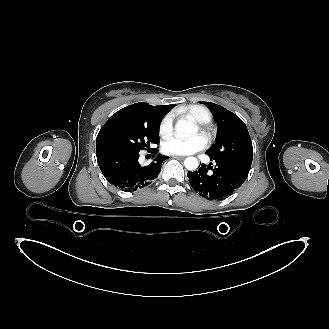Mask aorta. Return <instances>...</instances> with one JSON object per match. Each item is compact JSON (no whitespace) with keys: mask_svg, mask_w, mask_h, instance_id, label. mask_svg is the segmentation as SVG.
Returning a JSON list of instances; mask_svg holds the SVG:
<instances>
[{"mask_svg":"<svg viewBox=\"0 0 329 329\" xmlns=\"http://www.w3.org/2000/svg\"><path fill=\"white\" fill-rule=\"evenodd\" d=\"M175 130L179 136L185 137L195 134L197 127L187 120H179L176 123ZM184 165L189 171H195L199 163L195 157H188L185 159Z\"/></svg>","mask_w":329,"mask_h":329,"instance_id":"aorta-1","label":"aorta"}]
</instances>
